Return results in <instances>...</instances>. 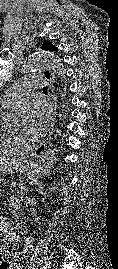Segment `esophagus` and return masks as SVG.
<instances>
[{"mask_svg":"<svg viewBox=\"0 0 118 269\" xmlns=\"http://www.w3.org/2000/svg\"><path fill=\"white\" fill-rule=\"evenodd\" d=\"M42 75L48 85V96H49V100H50V105H51V109H50V123L48 126V132L47 135L45 137V139L42 141V143L35 148V150L31 153L32 157H37L39 155H41L48 143L51 140V136L54 132V126H55V122H56V110H57V96L55 93V84H54V76L51 73L50 70H43L42 71Z\"/></svg>","mask_w":118,"mask_h":269,"instance_id":"1","label":"esophagus"}]
</instances>
